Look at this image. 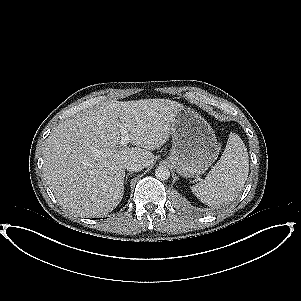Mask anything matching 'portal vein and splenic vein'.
<instances>
[{
  "instance_id": "portal-vein-and-splenic-vein-1",
  "label": "portal vein and splenic vein",
  "mask_w": 301,
  "mask_h": 301,
  "mask_svg": "<svg viewBox=\"0 0 301 301\" xmlns=\"http://www.w3.org/2000/svg\"><path fill=\"white\" fill-rule=\"evenodd\" d=\"M128 139H129V137L127 135L122 136L121 140H120V146L127 147V144L129 142Z\"/></svg>"
}]
</instances>
